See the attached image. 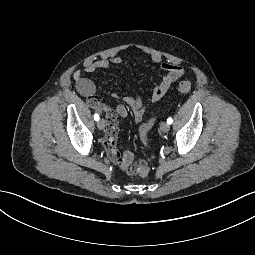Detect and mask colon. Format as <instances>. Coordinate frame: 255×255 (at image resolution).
I'll list each match as a JSON object with an SVG mask.
<instances>
[{
  "instance_id": "colon-1",
  "label": "colon",
  "mask_w": 255,
  "mask_h": 255,
  "mask_svg": "<svg viewBox=\"0 0 255 255\" xmlns=\"http://www.w3.org/2000/svg\"><path fill=\"white\" fill-rule=\"evenodd\" d=\"M190 89H191V83L187 80L181 81L177 86V90L180 93H188ZM155 120H156L155 117H152L140 126V129H139L140 137L144 145L147 144L148 135L155 124ZM148 173H149L148 166L144 163H141L138 167L139 176L146 177Z\"/></svg>"
}]
</instances>
